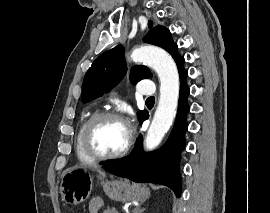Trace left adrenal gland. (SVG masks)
Segmentation results:
<instances>
[{
    "instance_id": "a2214340",
    "label": "left adrenal gland",
    "mask_w": 270,
    "mask_h": 213,
    "mask_svg": "<svg viewBox=\"0 0 270 213\" xmlns=\"http://www.w3.org/2000/svg\"><path fill=\"white\" fill-rule=\"evenodd\" d=\"M145 210V208H141V206H137L132 210V213H142Z\"/></svg>"
}]
</instances>
